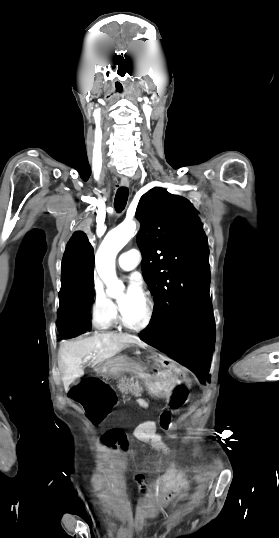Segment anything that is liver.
<instances>
[{
    "instance_id": "1",
    "label": "liver",
    "mask_w": 279,
    "mask_h": 538,
    "mask_svg": "<svg viewBox=\"0 0 279 538\" xmlns=\"http://www.w3.org/2000/svg\"><path fill=\"white\" fill-rule=\"evenodd\" d=\"M127 344H137L143 348L142 342L129 334H96L93 338H85V340H78V342H66V340L61 342L58 352V366L63 374L62 382L65 390L74 380L84 376L82 360L85 356L95 354L92 358V368H94L96 364H101V362H105V360H109L125 350Z\"/></svg>"
}]
</instances>
